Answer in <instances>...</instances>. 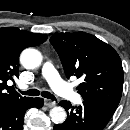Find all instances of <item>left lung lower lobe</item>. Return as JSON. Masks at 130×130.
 <instances>
[{
	"label": "left lung lower lobe",
	"instance_id": "1",
	"mask_svg": "<svg viewBox=\"0 0 130 130\" xmlns=\"http://www.w3.org/2000/svg\"><path fill=\"white\" fill-rule=\"evenodd\" d=\"M59 104L67 111V119L53 130H102L114 114L108 107L87 99L78 107H72L67 101Z\"/></svg>",
	"mask_w": 130,
	"mask_h": 130
}]
</instances>
